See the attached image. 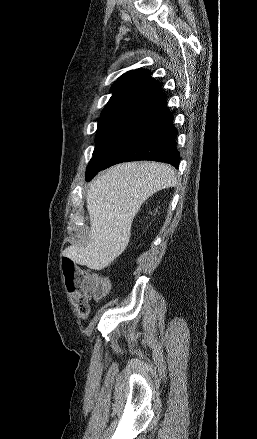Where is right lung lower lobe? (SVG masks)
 I'll return each instance as SVG.
<instances>
[{"instance_id":"obj_1","label":"right lung lower lobe","mask_w":257,"mask_h":439,"mask_svg":"<svg viewBox=\"0 0 257 439\" xmlns=\"http://www.w3.org/2000/svg\"><path fill=\"white\" fill-rule=\"evenodd\" d=\"M165 99L120 126L90 160L86 181L107 167L127 161L154 160L179 167L177 131Z\"/></svg>"}]
</instances>
